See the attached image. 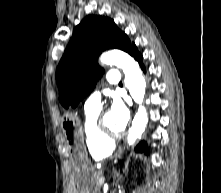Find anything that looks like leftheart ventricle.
Masks as SVG:
<instances>
[{
  "label": "left heart ventricle",
  "mask_w": 221,
  "mask_h": 193,
  "mask_svg": "<svg viewBox=\"0 0 221 193\" xmlns=\"http://www.w3.org/2000/svg\"><path fill=\"white\" fill-rule=\"evenodd\" d=\"M104 124H105V127L112 133H118L120 132L119 129L117 128L116 124L114 123L110 113H105L104 115Z\"/></svg>",
  "instance_id": "1"
}]
</instances>
